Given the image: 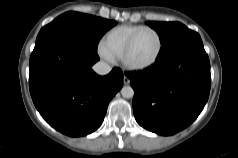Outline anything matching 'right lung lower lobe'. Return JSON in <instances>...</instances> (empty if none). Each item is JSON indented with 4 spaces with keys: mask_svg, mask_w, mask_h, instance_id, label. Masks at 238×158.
<instances>
[{
    "mask_svg": "<svg viewBox=\"0 0 238 158\" xmlns=\"http://www.w3.org/2000/svg\"><path fill=\"white\" fill-rule=\"evenodd\" d=\"M98 60L97 51L66 36H49L35 44L30 94L42 117L63 134L79 137L98 129L110 100L123 86L119 68L106 76L91 69Z\"/></svg>",
    "mask_w": 238,
    "mask_h": 158,
    "instance_id": "obj_1",
    "label": "right lung lower lobe"
}]
</instances>
